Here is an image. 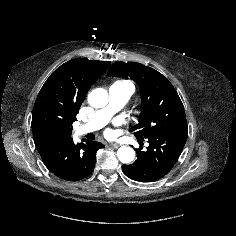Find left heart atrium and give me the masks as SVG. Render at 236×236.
<instances>
[{"instance_id": "left-heart-atrium-1", "label": "left heart atrium", "mask_w": 236, "mask_h": 236, "mask_svg": "<svg viewBox=\"0 0 236 236\" xmlns=\"http://www.w3.org/2000/svg\"><path fill=\"white\" fill-rule=\"evenodd\" d=\"M111 134V132L110 131H107V135H110Z\"/></svg>"}]
</instances>
